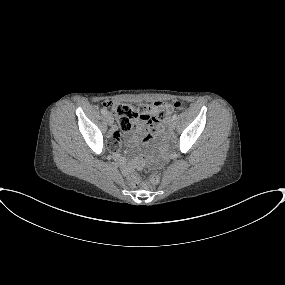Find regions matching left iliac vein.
I'll use <instances>...</instances> for the list:
<instances>
[{"label":"left iliac vein","instance_id":"4c4485c4","mask_svg":"<svg viewBox=\"0 0 285 285\" xmlns=\"http://www.w3.org/2000/svg\"><path fill=\"white\" fill-rule=\"evenodd\" d=\"M168 128H169L170 130H173V129L175 128V121H174L173 119H171V120L169 121Z\"/></svg>","mask_w":285,"mask_h":285}]
</instances>
